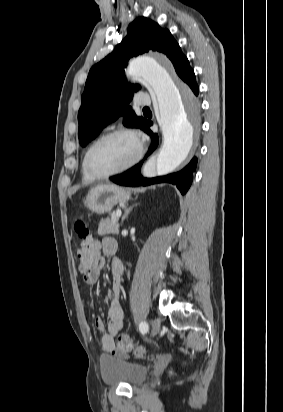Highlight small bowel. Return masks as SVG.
<instances>
[{
	"instance_id": "1",
	"label": "small bowel",
	"mask_w": 283,
	"mask_h": 412,
	"mask_svg": "<svg viewBox=\"0 0 283 412\" xmlns=\"http://www.w3.org/2000/svg\"><path fill=\"white\" fill-rule=\"evenodd\" d=\"M116 245L117 242L112 238H104L102 244L97 245V257L91 263V265L82 270L84 273L85 281L89 285H95L99 279L100 272L104 267L105 260L104 257L100 255V249L107 255L113 254L111 252V246ZM115 253V252H114ZM123 265L120 260L113 259L111 262V301L107 312V331H105V324L101 318L95 319V327L97 330L102 332L100 338L101 347L103 354L111 356H123L124 354L115 348L114 338L118 332L122 329L124 323V311L121 306L119 295L122 288V277H123Z\"/></svg>"
}]
</instances>
